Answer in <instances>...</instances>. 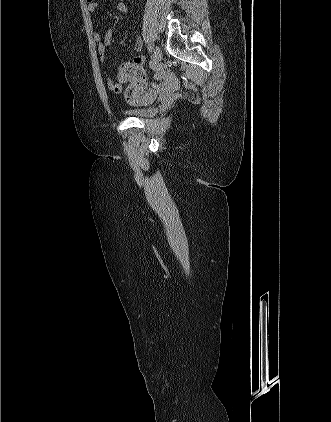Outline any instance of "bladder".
Returning a JSON list of instances; mask_svg holds the SVG:
<instances>
[{
    "label": "bladder",
    "mask_w": 331,
    "mask_h": 422,
    "mask_svg": "<svg viewBox=\"0 0 331 422\" xmlns=\"http://www.w3.org/2000/svg\"><path fill=\"white\" fill-rule=\"evenodd\" d=\"M126 114L137 118H148L156 113L155 107L131 108L125 111Z\"/></svg>",
    "instance_id": "bladder-1"
}]
</instances>
